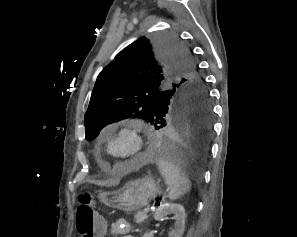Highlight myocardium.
<instances>
[{
  "label": "myocardium",
  "mask_w": 297,
  "mask_h": 237,
  "mask_svg": "<svg viewBox=\"0 0 297 237\" xmlns=\"http://www.w3.org/2000/svg\"><path fill=\"white\" fill-rule=\"evenodd\" d=\"M123 136H126L131 140L132 151L127 155L118 158L110 152V145L113 140ZM144 147H145L144 137L142 135L140 127L136 124H129L119 128L117 131L111 133L106 140V153L110 157L120 162H125V161H129L137 158L139 155H141L144 152Z\"/></svg>",
  "instance_id": "1"
}]
</instances>
